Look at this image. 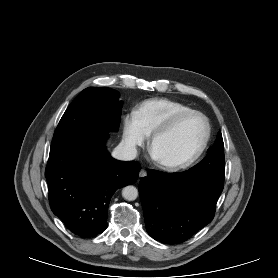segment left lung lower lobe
<instances>
[{
    "label": "left lung lower lobe",
    "instance_id": "1",
    "mask_svg": "<svg viewBox=\"0 0 278 278\" xmlns=\"http://www.w3.org/2000/svg\"><path fill=\"white\" fill-rule=\"evenodd\" d=\"M224 176L199 171L148 170L139 194L148 234L165 244H179L210 223L222 193Z\"/></svg>",
    "mask_w": 278,
    "mask_h": 278
}]
</instances>
